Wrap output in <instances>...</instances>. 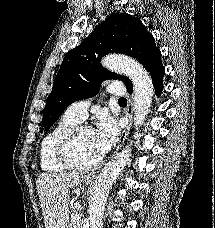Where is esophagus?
I'll use <instances>...</instances> for the list:
<instances>
[{
  "mask_svg": "<svg viewBox=\"0 0 215 228\" xmlns=\"http://www.w3.org/2000/svg\"><path fill=\"white\" fill-rule=\"evenodd\" d=\"M133 112H134V98H133V95H130L129 99H128V105H127V108H126V117L128 118V125L125 128V130H123V132H122V135L120 137V140H119V143L117 145V148L115 150L114 155L118 152V150L123 145L124 141L126 140V137H127L128 133H129V131L131 129Z\"/></svg>",
  "mask_w": 215,
  "mask_h": 228,
  "instance_id": "esophagus-1",
  "label": "esophagus"
}]
</instances>
